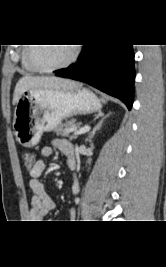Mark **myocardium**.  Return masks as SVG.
<instances>
[{"mask_svg":"<svg viewBox=\"0 0 166 267\" xmlns=\"http://www.w3.org/2000/svg\"><path fill=\"white\" fill-rule=\"evenodd\" d=\"M34 45L35 44H30V46H28V49H27V59H28V62L30 63V65L32 67H34L37 71H40V72L49 73V72H54V71H58V70L67 68L72 63H74L76 61V59H77V57L79 55V48H78V46H73L72 54H71V56L69 57V59L67 61H65L64 63H61L59 65H56V66L44 67V66L39 65L34 60V58H33Z\"/></svg>","mask_w":166,"mask_h":267,"instance_id":"f54148a6","label":"myocardium"}]
</instances>
